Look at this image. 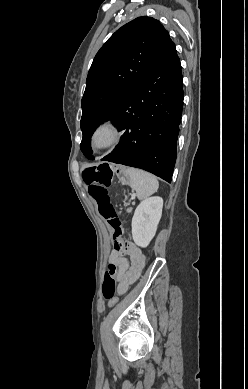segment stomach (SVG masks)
<instances>
[{
  "instance_id": "obj_1",
  "label": "stomach",
  "mask_w": 248,
  "mask_h": 389,
  "mask_svg": "<svg viewBox=\"0 0 248 389\" xmlns=\"http://www.w3.org/2000/svg\"><path fill=\"white\" fill-rule=\"evenodd\" d=\"M112 169L123 184L129 183L128 170L122 164H113Z\"/></svg>"
}]
</instances>
